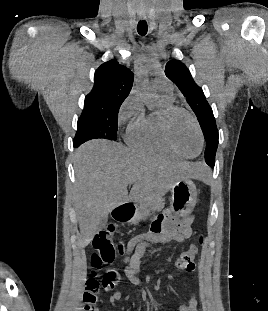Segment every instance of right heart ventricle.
<instances>
[{"mask_svg":"<svg viewBox=\"0 0 268 311\" xmlns=\"http://www.w3.org/2000/svg\"><path fill=\"white\" fill-rule=\"evenodd\" d=\"M162 107L149 113H142L130 125L126 140L128 144L145 153L165 155L172 158H180L166 144L161 132V115L165 107L173 105L171 96L161 95Z\"/></svg>","mask_w":268,"mask_h":311,"instance_id":"right-heart-ventricle-1","label":"right heart ventricle"}]
</instances>
